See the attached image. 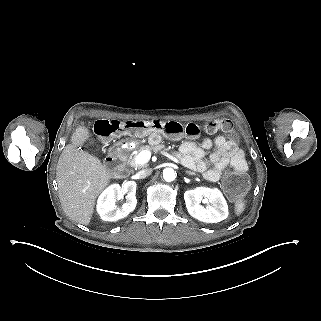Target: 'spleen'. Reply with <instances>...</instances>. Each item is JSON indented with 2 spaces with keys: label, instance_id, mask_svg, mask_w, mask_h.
<instances>
[{
  "label": "spleen",
  "instance_id": "1",
  "mask_svg": "<svg viewBox=\"0 0 321 321\" xmlns=\"http://www.w3.org/2000/svg\"><path fill=\"white\" fill-rule=\"evenodd\" d=\"M244 206H245V204L241 200L237 201L235 203V213H236V215H240L244 211Z\"/></svg>",
  "mask_w": 321,
  "mask_h": 321
}]
</instances>
